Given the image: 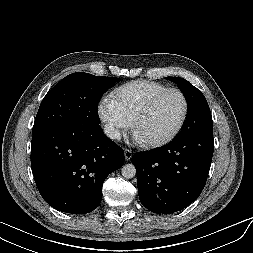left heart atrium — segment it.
Here are the masks:
<instances>
[{
	"instance_id": "left-heart-atrium-1",
	"label": "left heart atrium",
	"mask_w": 253,
	"mask_h": 253,
	"mask_svg": "<svg viewBox=\"0 0 253 253\" xmlns=\"http://www.w3.org/2000/svg\"><path fill=\"white\" fill-rule=\"evenodd\" d=\"M133 141L138 144V145H145L146 144V140L144 138H142L138 133H134L132 136Z\"/></svg>"
}]
</instances>
